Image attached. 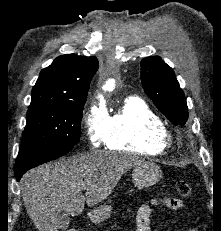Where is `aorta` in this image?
<instances>
[{
    "mask_svg": "<svg viewBox=\"0 0 221 231\" xmlns=\"http://www.w3.org/2000/svg\"><path fill=\"white\" fill-rule=\"evenodd\" d=\"M114 80H109L104 86V90L112 91L114 89Z\"/></svg>",
    "mask_w": 221,
    "mask_h": 231,
    "instance_id": "762f6f07",
    "label": "aorta"
}]
</instances>
